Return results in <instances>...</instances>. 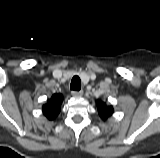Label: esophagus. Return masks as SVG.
Masks as SVG:
<instances>
[{
  "instance_id": "34e87169",
  "label": "esophagus",
  "mask_w": 160,
  "mask_h": 158,
  "mask_svg": "<svg viewBox=\"0 0 160 158\" xmlns=\"http://www.w3.org/2000/svg\"><path fill=\"white\" fill-rule=\"evenodd\" d=\"M71 94L73 96H81L83 94V91L82 90H79V91H72Z\"/></svg>"
}]
</instances>
